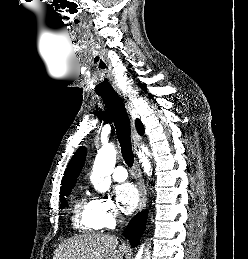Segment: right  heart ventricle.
<instances>
[{
  "label": "right heart ventricle",
  "instance_id": "obj_1",
  "mask_svg": "<svg viewBox=\"0 0 248 259\" xmlns=\"http://www.w3.org/2000/svg\"><path fill=\"white\" fill-rule=\"evenodd\" d=\"M72 212V224L75 228L85 232H93L100 229L93 200L86 197L77 198Z\"/></svg>",
  "mask_w": 248,
  "mask_h": 259
}]
</instances>
